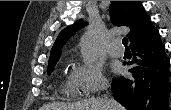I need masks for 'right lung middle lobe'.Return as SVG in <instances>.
<instances>
[{"label": "right lung middle lobe", "mask_w": 171, "mask_h": 110, "mask_svg": "<svg viewBox=\"0 0 171 110\" xmlns=\"http://www.w3.org/2000/svg\"><path fill=\"white\" fill-rule=\"evenodd\" d=\"M59 57L60 56H55L51 59H49V62H48V74H50L54 68V66L56 65V62L59 60Z\"/></svg>", "instance_id": "right-lung-middle-lobe-1"}]
</instances>
